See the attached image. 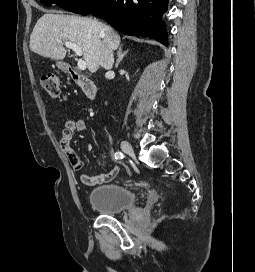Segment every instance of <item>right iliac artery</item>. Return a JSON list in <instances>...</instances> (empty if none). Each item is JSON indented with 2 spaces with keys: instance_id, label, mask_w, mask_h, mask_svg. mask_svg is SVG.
<instances>
[{
  "instance_id": "1",
  "label": "right iliac artery",
  "mask_w": 255,
  "mask_h": 272,
  "mask_svg": "<svg viewBox=\"0 0 255 272\" xmlns=\"http://www.w3.org/2000/svg\"><path fill=\"white\" fill-rule=\"evenodd\" d=\"M114 156H115V159H122L124 157L122 152H116Z\"/></svg>"
}]
</instances>
